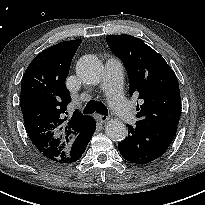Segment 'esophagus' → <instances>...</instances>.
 I'll return each instance as SVG.
<instances>
[{
  "mask_svg": "<svg viewBox=\"0 0 205 205\" xmlns=\"http://www.w3.org/2000/svg\"><path fill=\"white\" fill-rule=\"evenodd\" d=\"M97 118L101 123L107 122L110 119L109 116L101 115V114H98Z\"/></svg>",
  "mask_w": 205,
  "mask_h": 205,
  "instance_id": "esophagus-1",
  "label": "esophagus"
}]
</instances>
